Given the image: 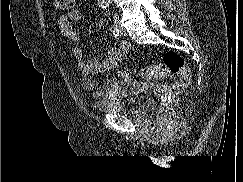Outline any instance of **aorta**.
<instances>
[{
	"label": "aorta",
	"mask_w": 243,
	"mask_h": 182,
	"mask_svg": "<svg viewBox=\"0 0 243 182\" xmlns=\"http://www.w3.org/2000/svg\"><path fill=\"white\" fill-rule=\"evenodd\" d=\"M98 4L102 9L107 10L110 5V0H98Z\"/></svg>",
	"instance_id": "1"
}]
</instances>
